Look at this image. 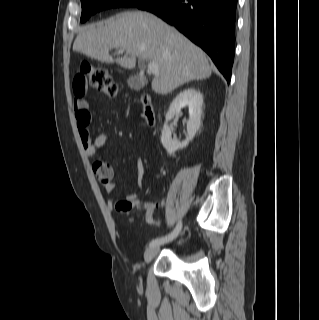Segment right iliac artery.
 <instances>
[{"instance_id": "obj_1", "label": "right iliac artery", "mask_w": 319, "mask_h": 320, "mask_svg": "<svg viewBox=\"0 0 319 320\" xmlns=\"http://www.w3.org/2000/svg\"><path fill=\"white\" fill-rule=\"evenodd\" d=\"M181 227H182V224H181V222H179L177 224V226L175 227V229L170 234L153 239L150 242L149 247H156V246L162 245L164 243H167L169 241H172L173 239H175L178 236V234L181 230Z\"/></svg>"}]
</instances>
